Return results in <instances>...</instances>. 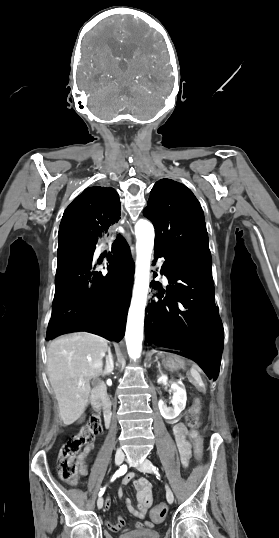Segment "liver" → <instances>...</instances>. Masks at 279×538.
Returning <instances> with one entry per match:
<instances>
[{"instance_id":"liver-1","label":"liver","mask_w":279,"mask_h":538,"mask_svg":"<svg viewBox=\"0 0 279 538\" xmlns=\"http://www.w3.org/2000/svg\"><path fill=\"white\" fill-rule=\"evenodd\" d=\"M107 340L76 332L51 342L47 350V372L63 424L76 422L88 404L90 380L101 376Z\"/></svg>"}]
</instances>
